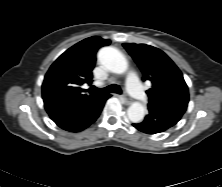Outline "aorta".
<instances>
[{
  "instance_id": "obj_1",
  "label": "aorta",
  "mask_w": 222,
  "mask_h": 187,
  "mask_svg": "<svg viewBox=\"0 0 222 187\" xmlns=\"http://www.w3.org/2000/svg\"><path fill=\"white\" fill-rule=\"evenodd\" d=\"M98 60L109 71L123 74L128 69V61L121 51L114 47H103L98 52ZM128 118L133 123L144 119L145 107L140 102H133L127 111Z\"/></svg>"
}]
</instances>
